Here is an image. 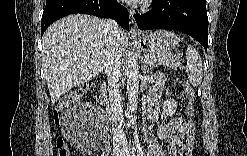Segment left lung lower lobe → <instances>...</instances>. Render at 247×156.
I'll return each instance as SVG.
<instances>
[{"label":"left lung lower lobe","mask_w":247,"mask_h":156,"mask_svg":"<svg viewBox=\"0 0 247 156\" xmlns=\"http://www.w3.org/2000/svg\"><path fill=\"white\" fill-rule=\"evenodd\" d=\"M140 30L167 29L189 34L208 46L206 0H153L150 11L135 15Z\"/></svg>","instance_id":"obj_1"}]
</instances>
